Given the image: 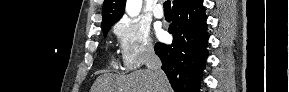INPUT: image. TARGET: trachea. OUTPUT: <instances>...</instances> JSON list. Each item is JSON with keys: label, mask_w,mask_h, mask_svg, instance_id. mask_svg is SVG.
Instances as JSON below:
<instances>
[{"label": "trachea", "mask_w": 289, "mask_h": 92, "mask_svg": "<svg viewBox=\"0 0 289 92\" xmlns=\"http://www.w3.org/2000/svg\"><path fill=\"white\" fill-rule=\"evenodd\" d=\"M164 12L170 13L171 12V1H165L163 4Z\"/></svg>", "instance_id": "1"}]
</instances>
